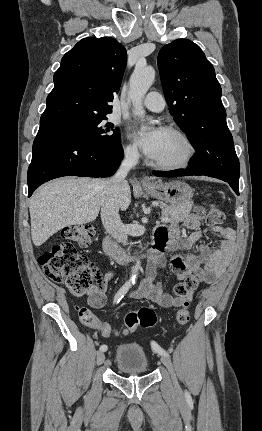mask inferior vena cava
I'll return each mask as SVG.
<instances>
[{
    "mask_svg": "<svg viewBox=\"0 0 262 431\" xmlns=\"http://www.w3.org/2000/svg\"><path fill=\"white\" fill-rule=\"evenodd\" d=\"M139 153L132 149L124 151V159L117 172L105 182V196L101 205V219L106 231L123 245L127 244V230L119 216V196L127 186L128 172L138 162Z\"/></svg>",
    "mask_w": 262,
    "mask_h": 431,
    "instance_id": "obj_1",
    "label": "inferior vena cava"
}]
</instances>
